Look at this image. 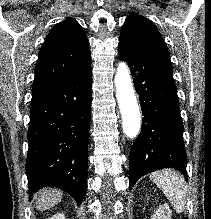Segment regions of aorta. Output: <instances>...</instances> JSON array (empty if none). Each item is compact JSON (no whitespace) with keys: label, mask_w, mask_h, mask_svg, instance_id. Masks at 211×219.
I'll return each mask as SVG.
<instances>
[{"label":"aorta","mask_w":211,"mask_h":219,"mask_svg":"<svg viewBox=\"0 0 211 219\" xmlns=\"http://www.w3.org/2000/svg\"><path fill=\"white\" fill-rule=\"evenodd\" d=\"M114 82L122 116L123 133L133 139L140 131L141 114L126 63H119Z\"/></svg>","instance_id":"762f6f07"}]
</instances>
